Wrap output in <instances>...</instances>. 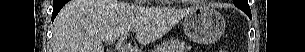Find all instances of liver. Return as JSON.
<instances>
[{
	"label": "liver",
	"mask_w": 305,
	"mask_h": 52,
	"mask_svg": "<svg viewBox=\"0 0 305 52\" xmlns=\"http://www.w3.org/2000/svg\"><path fill=\"white\" fill-rule=\"evenodd\" d=\"M192 8L142 7L115 0H71L53 26V52H105L102 42L135 32L152 43L167 34Z\"/></svg>",
	"instance_id": "1"
}]
</instances>
